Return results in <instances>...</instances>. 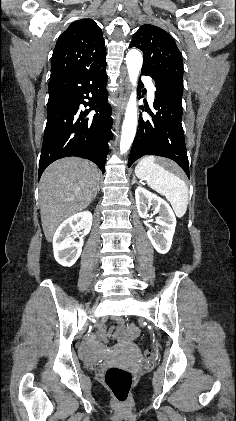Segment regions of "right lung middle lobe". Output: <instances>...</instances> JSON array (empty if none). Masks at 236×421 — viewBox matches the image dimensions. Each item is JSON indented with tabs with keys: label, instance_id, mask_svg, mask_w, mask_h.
I'll return each mask as SVG.
<instances>
[{
	"label": "right lung middle lobe",
	"instance_id": "1",
	"mask_svg": "<svg viewBox=\"0 0 236 421\" xmlns=\"http://www.w3.org/2000/svg\"><path fill=\"white\" fill-rule=\"evenodd\" d=\"M59 94H60V92H57V91L52 90V89H49V98H53V97H55V96H57Z\"/></svg>",
	"mask_w": 236,
	"mask_h": 421
}]
</instances>
